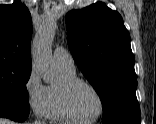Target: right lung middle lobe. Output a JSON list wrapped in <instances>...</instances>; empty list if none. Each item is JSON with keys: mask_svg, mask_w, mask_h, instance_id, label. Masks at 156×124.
<instances>
[{"mask_svg": "<svg viewBox=\"0 0 156 124\" xmlns=\"http://www.w3.org/2000/svg\"><path fill=\"white\" fill-rule=\"evenodd\" d=\"M31 66L0 63V100L29 105L26 83Z\"/></svg>", "mask_w": 156, "mask_h": 124, "instance_id": "dd1d6c3e", "label": "right lung middle lobe"}]
</instances>
